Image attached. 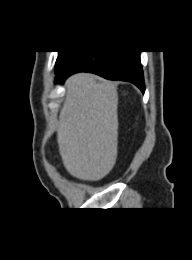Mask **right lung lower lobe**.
Returning a JSON list of instances; mask_svg holds the SVG:
<instances>
[{"mask_svg": "<svg viewBox=\"0 0 192 260\" xmlns=\"http://www.w3.org/2000/svg\"><path fill=\"white\" fill-rule=\"evenodd\" d=\"M76 72H92L110 80L128 81L145 90L140 51L81 52L57 74L60 83Z\"/></svg>", "mask_w": 192, "mask_h": 260, "instance_id": "98d812e1", "label": "right lung lower lobe"}]
</instances>
